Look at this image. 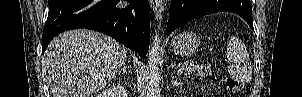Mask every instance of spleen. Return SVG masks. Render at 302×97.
Returning a JSON list of instances; mask_svg holds the SVG:
<instances>
[{
    "instance_id": "1",
    "label": "spleen",
    "mask_w": 302,
    "mask_h": 97,
    "mask_svg": "<svg viewBox=\"0 0 302 97\" xmlns=\"http://www.w3.org/2000/svg\"><path fill=\"white\" fill-rule=\"evenodd\" d=\"M226 56L232 63L228 67L229 74L242 82L251 81L252 68L250 64L249 54L244 43L237 37H230Z\"/></svg>"
}]
</instances>
